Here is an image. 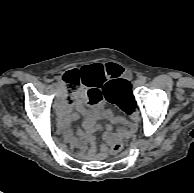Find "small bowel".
<instances>
[{
	"label": "small bowel",
	"instance_id": "c3829d8e",
	"mask_svg": "<svg viewBox=\"0 0 194 193\" xmlns=\"http://www.w3.org/2000/svg\"><path fill=\"white\" fill-rule=\"evenodd\" d=\"M120 74V67L109 63L92 66L83 71L82 90L71 103H63L61 106V119L59 123L66 135L69 134V124L77 118V115L74 113L75 110L84 116V129L87 132L95 129V120L97 118H107L109 124L106 127V136H112L114 124L122 120L111 110H103L101 108L100 88L112 82V79L120 76Z\"/></svg>",
	"mask_w": 194,
	"mask_h": 193
}]
</instances>
